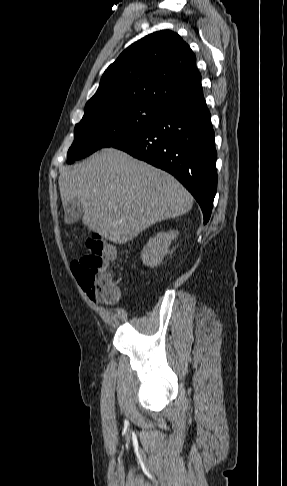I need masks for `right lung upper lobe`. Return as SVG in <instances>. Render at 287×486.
<instances>
[{"instance_id":"1","label":"right lung upper lobe","mask_w":287,"mask_h":486,"mask_svg":"<svg viewBox=\"0 0 287 486\" xmlns=\"http://www.w3.org/2000/svg\"><path fill=\"white\" fill-rule=\"evenodd\" d=\"M201 92V75L191 48L177 33L162 30L145 36L121 53L104 72L85 109L131 101L170 108Z\"/></svg>"}]
</instances>
